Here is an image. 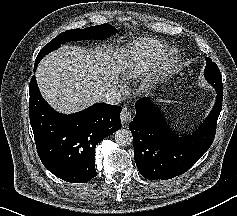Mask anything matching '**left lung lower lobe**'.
Here are the masks:
<instances>
[{
  "mask_svg": "<svg viewBox=\"0 0 237 216\" xmlns=\"http://www.w3.org/2000/svg\"><path fill=\"white\" fill-rule=\"evenodd\" d=\"M210 115L192 135L180 137L167 126L149 98L136 102V115L129 124L133 135L134 159L141 175L149 180H167L185 173L211 146L222 109L223 90Z\"/></svg>",
  "mask_w": 237,
  "mask_h": 216,
  "instance_id": "obj_1",
  "label": "left lung lower lobe"
}]
</instances>
